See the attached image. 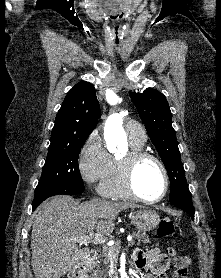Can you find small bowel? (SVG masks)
<instances>
[{
  "mask_svg": "<svg viewBox=\"0 0 221 278\" xmlns=\"http://www.w3.org/2000/svg\"><path fill=\"white\" fill-rule=\"evenodd\" d=\"M133 260L140 270H147L146 278H167L166 271L170 264V255L163 254L159 249L153 248L147 252L135 251Z\"/></svg>",
  "mask_w": 221,
  "mask_h": 278,
  "instance_id": "small-bowel-1",
  "label": "small bowel"
}]
</instances>
